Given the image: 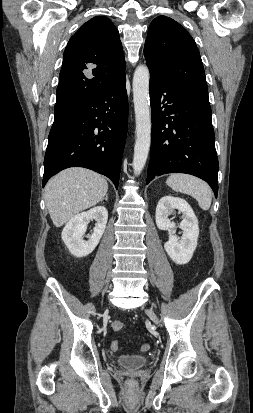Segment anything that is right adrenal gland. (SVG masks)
<instances>
[{
  "mask_svg": "<svg viewBox=\"0 0 253 413\" xmlns=\"http://www.w3.org/2000/svg\"><path fill=\"white\" fill-rule=\"evenodd\" d=\"M104 200H108V195H106V197L101 202H103Z\"/></svg>",
  "mask_w": 253,
  "mask_h": 413,
  "instance_id": "right-adrenal-gland-1",
  "label": "right adrenal gland"
}]
</instances>
